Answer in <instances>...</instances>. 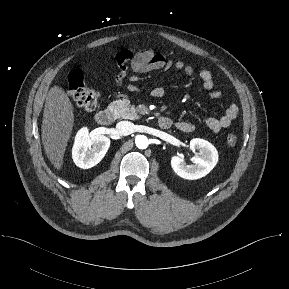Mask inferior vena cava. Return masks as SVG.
I'll return each mask as SVG.
<instances>
[{"mask_svg":"<svg viewBox=\"0 0 289 289\" xmlns=\"http://www.w3.org/2000/svg\"><path fill=\"white\" fill-rule=\"evenodd\" d=\"M120 135H129L134 132V124L129 121H120L116 125Z\"/></svg>","mask_w":289,"mask_h":289,"instance_id":"inferior-vena-cava-1","label":"inferior vena cava"}]
</instances>
